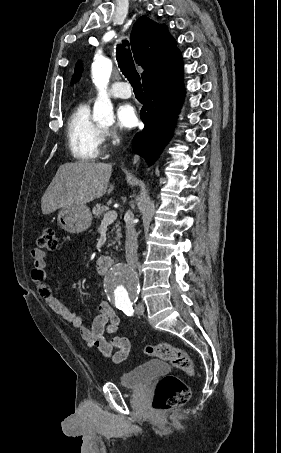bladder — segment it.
Returning <instances> with one entry per match:
<instances>
[{
    "instance_id": "bladder-1",
    "label": "bladder",
    "mask_w": 281,
    "mask_h": 453,
    "mask_svg": "<svg viewBox=\"0 0 281 453\" xmlns=\"http://www.w3.org/2000/svg\"><path fill=\"white\" fill-rule=\"evenodd\" d=\"M169 371V366L163 361H150L128 372L119 378L121 386L126 388H140L148 384L155 377Z\"/></svg>"
}]
</instances>
